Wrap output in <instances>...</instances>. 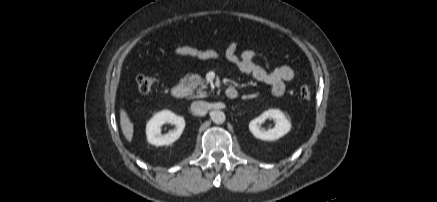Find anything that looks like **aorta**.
I'll use <instances>...</instances> for the list:
<instances>
[{"mask_svg":"<svg viewBox=\"0 0 437 202\" xmlns=\"http://www.w3.org/2000/svg\"><path fill=\"white\" fill-rule=\"evenodd\" d=\"M210 116H211V120L215 124H222V123L225 122V119H226V116H225L224 112H222L220 110L212 111Z\"/></svg>","mask_w":437,"mask_h":202,"instance_id":"obj_1","label":"aorta"}]
</instances>
